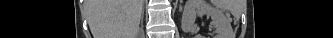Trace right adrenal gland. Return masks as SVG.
Masks as SVG:
<instances>
[{
	"mask_svg": "<svg viewBox=\"0 0 333 38\" xmlns=\"http://www.w3.org/2000/svg\"><path fill=\"white\" fill-rule=\"evenodd\" d=\"M143 18H144V7H143V10H142V14H141V24L143 23Z\"/></svg>",
	"mask_w": 333,
	"mask_h": 38,
	"instance_id": "obj_1",
	"label": "right adrenal gland"
}]
</instances>
